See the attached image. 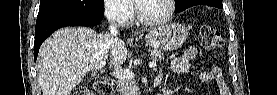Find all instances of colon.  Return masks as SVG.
<instances>
[{"label": "colon", "mask_w": 277, "mask_h": 95, "mask_svg": "<svg viewBox=\"0 0 277 95\" xmlns=\"http://www.w3.org/2000/svg\"><path fill=\"white\" fill-rule=\"evenodd\" d=\"M200 42L204 48L215 49L220 47L224 40L218 30L211 26H202L199 30ZM74 95H90V91L84 86H77L73 90Z\"/></svg>", "instance_id": "obj_1"}]
</instances>
